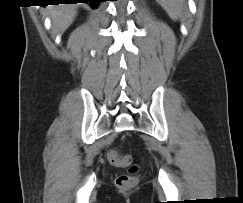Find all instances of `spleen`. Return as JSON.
Wrapping results in <instances>:
<instances>
[{
  "instance_id": "spleen-1",
  "label": "spleen",
  "mask_w": 243,
  "mask_h": 203,
  "mask_svg": "<svg viewBox=\"0 0 243 203\" xmlns=\"http://www.w3.org/2000/svg\"><path fill=\"white\" fill-rule=\"evenodd\" d=\"M172 19L179 17L183 10L184 0H156Z\"/></svg>"
}]
</instances>
